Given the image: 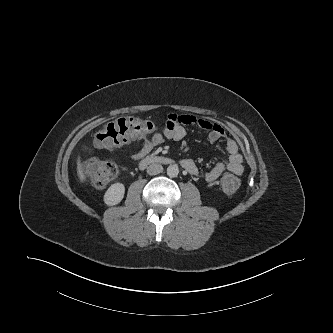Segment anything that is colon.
<instances>
[{"label":"colon","mask_w":333,"mask_h":333,"mask_svg":"<svg viewBox=\"0 0 333 333\" xmlns=\"http://www.w3.org/2000/svg\"><path fill=\"white\" fill-rule=\"evenodd\" d=\"M157 128L153 122L143 118H120L99 130L94 136L93 144L98 149H108L135 139L146 138ZM83 170L96 186L107 184L118 172L113 162L96 158L84 162ZM221 185L226 193H234L239 187V179L233 174H226Z\"/></svg>","instance_id":"5ec220e1"}]
</instances>
